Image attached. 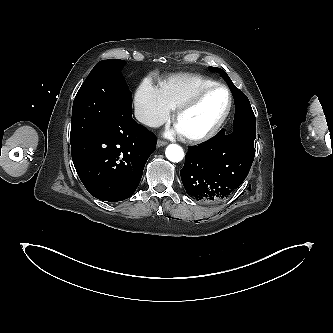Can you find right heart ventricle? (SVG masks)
<instances>
[{"label":"right heart ventricle","instance_id":"obj_1","mask_svg":"<svg viewBox=\"0 0 333 333\" xmlns=\"http://www.w3.org/2000/svg\"><path fill=\"white\" fill-rule=\"evenodd\" d=\"M216 83L213 79L192 73L175 74L160 83V93L171 110H176L201 88Z\"/></svg>","mask_w":333,"mask_h":333}]
</instances>
